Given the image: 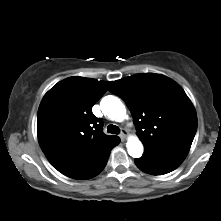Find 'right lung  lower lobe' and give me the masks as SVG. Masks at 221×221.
Masks as SVG:
<instances>
[{
	"instance_id": "right-lung-lower-lobe-1",
	"label": "right lung lower lobe",
	"mask_w": 221,
	"mask_h": 221,
	"mask_svg": "<svg viewBox=\"0 0 221 221\" xmlns=\"http://www.w3.org/2000/svg\"><path fill=\"white\" fill-rule=\"evenodd\" d=\"M119 142L120 138L116 143H114L112 146L107 148L103 153H101L92 161L84 165L65 170L61 173L70 178L79 179V180H86L95 177L104 169L108 161L110 151L112 150V148L118 145Z\"/></svg>"
}]
</instances>
